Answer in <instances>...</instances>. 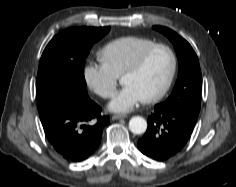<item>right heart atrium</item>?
Listing matches in <instances>:
<instances>
[{
	"label": "right heart atrium",
	"mask_w": 236,
	"mask_h": 187,
	"mask_svg": "<svg viewBox=\"0 0 236 187\" xmlns=\"http://www.w3.org/2000/svg\"><path fill=\"white\" fill-rule=\"evenodd\" d=\"M83 78L87 87L101 98L113 96L117 78L103 64L90 62L83 69Z\"/></svg>",
	"instance_id": "obj_1"
}]
</instances>
